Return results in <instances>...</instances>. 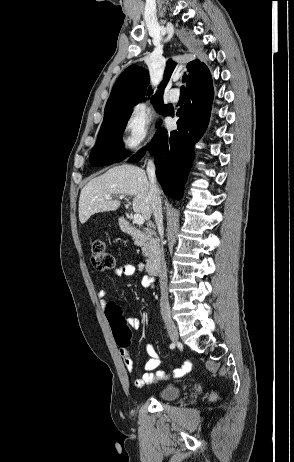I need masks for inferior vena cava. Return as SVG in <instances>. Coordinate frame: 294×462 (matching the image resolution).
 <instances>
[{"label":"inferior vena cava","mask_w":294,"mask_h":462,"mask_svg":"<svg viewBox=\"0 0 294 462\" xmlns=\"http://www.w3.org/2000/svg\"><path fill=\"white\" fill-rule=\"evenodd\" d=\"M147 174L149 178L150 185V200H151V210L154 216L158 231L163 232V217H162V203L160 197V191L157 185L156 176H155V164L153 160H149L147 163ZM159 262L161 264V270L159 273L160 278V310L162 315L170 314V306L168 301V292H167V273L166 265L163 260L162 250H159Z\"/></svg>","instance_id":"602c4592"}]
</instances>
